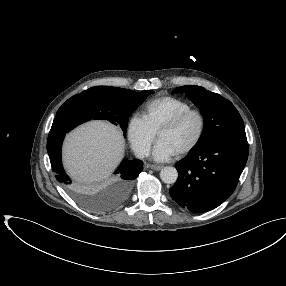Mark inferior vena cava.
Returning <instances> with one entry per match:
<instances>
[{
	"label": "inferior vena cava",
	"instance_id": "obj_1",
	"mask_svg": "<svg viewBox=\"0 0 286 286\" xmlns=\"http://www.w3.org/2000/svg\"><path fill=\"white\" fill-rule=\"evenodd\" d=\"M147 155H148V152L145 150H142V151L137 153V157H139V158H144Z\"/></svg>",
	"mask_w": 286,
	"mask_h": 286
}]
</instances>
